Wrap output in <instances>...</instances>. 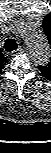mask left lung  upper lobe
Segmentation results:
<instances>
[{"label":"left lung upper lobe","mask_w":51,"mask_h":153,"mask_svg":"<svg viewBox=\"0 0 51 153\" xmlns=\"http://www.w3.org/2000/svg\"><path fill=\"white\" fill-rule=\"evenodd\" d=\"M43 31L51 45V13L43 19ZM38 68L46 79L51 80V61L47 65H40Z\"/></svg>","instance_id":"obj_1"}]
</instances>
